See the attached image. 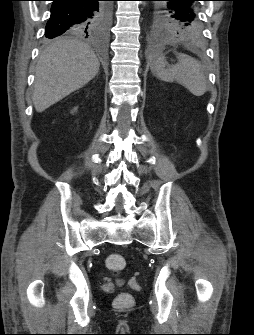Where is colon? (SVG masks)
<instances>
[{
    "instance_id": "colon-1",
    "label": "colon",
    "mask_w": 254,
    "mask_h": 335,
    "mask_svg": "<svg viewBox=\"0 0 254 335\" xmlns=\"http://www.w3.org/2000/svg\"><path fill=\"white\" fill-rule=\"evenodd\" d=\"M106 266L107 268L113 273L114 276L119 277L125 267H126V260L125 258L119 253H111L106 257ZM133 297L131 294L127 292L119 293L115 298V305L117 307H130L133 305Z\"/></svg>"
}]
</instances>
